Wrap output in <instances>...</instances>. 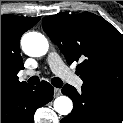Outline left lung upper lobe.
<instances>
[{
	"label": "left lung upper lobe",
	"mask_w": 123,
	"mask_h": 123,
	"mask_svg": "<svg viewBox=\"0 0 123 123\" xmlns=\"http://www.w3.org/2000/svg\"><path fill=\"white\" fill-rule=\"evenodd\" d=\"M42 26L69 64L79 62L84 87L123 96V36L116 28L87 12L48 16Z\"/></svg>",
	"instance_id": "obj_1"
}]
</instances>
